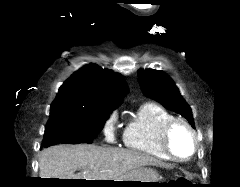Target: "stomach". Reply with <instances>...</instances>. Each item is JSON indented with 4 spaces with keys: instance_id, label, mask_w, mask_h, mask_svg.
I'll list each match as a JSON object with an SVG mask.
<instances>
[{
    "instance_id": "stomach-1",
    "label": "stomach",
    "mask_w": 240,
    "mask_h": 187,
    "mask_svg": "<svg viewBox=\"0 0 240 187\" xmlns=\"http://www.w3.org/2000/svg\"><path fill=\"white\" fill-rule=\"evenodd\" d=\"M123 181V182H114ZM144 182V183H143ZM145 182H158V183H145ZM160 176L151 168H139L130 171L118 179L112 180L110 186L118 187H157L159 186Z\"/></svg>"
}]
</instances>
